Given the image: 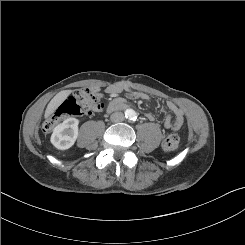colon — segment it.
<instances>
[{
	"instance_id": "colon-1",
	"label": "colon",
	"mask_w": 245,
	"mask_h": 245,
	"mask_svg": "<svg viewBox=\"0 0 245 245\" xmlns=\"http://www.w3.org/2000/svg\"><path fill=\"white\" fill-rule=\"evenodd\" d=\"M104 108L102 95L97 88H82L66 98L45 121L44 130L52 131L64 118L74 116H92L101 112ZM180 138L173 133L168 135L162 142L165 152H173L179 146Z\"/></svg>"
}]
</instances>
